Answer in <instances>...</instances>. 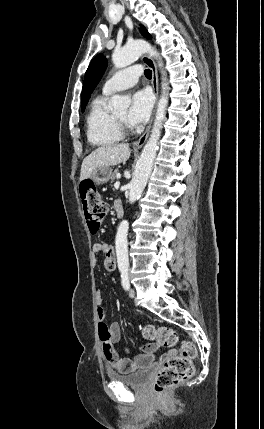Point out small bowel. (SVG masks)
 Returning <instances> with one entry per match:
<instances>
[{"label":"small bowel","mask_w":264,"mask_h":429,"mask_svg":"<svg viewBox=\"0 0 264 429\" xmlns=\"http://www.w3.org/2000/svg\"><path fill=\"white\" fill-rule=\"evenodd\" d=\"M118 203L120 202L116 201L115 205ZM92 252L94 255H97L98 253H103L105 269L109 272L114 271L116 265L114 260L115 252L111 245L107 243H95L92 247ZM99 303L101 304L100 296ZM98 314L100 319L98 325L99 337L103 343V350L106 358V344L110 343L112 347L113 358H107L111 367L120 373H129L137 369L148 368L154 360V353L157 349V346L152 343L145 344L142 347V353L137 355L134 359L119 357L113 348V343L117 342L120 339V326L117 322H106V312L101 306L98 309Z\"/></svg>","instance_id":"obj_1"}]
</instances>
